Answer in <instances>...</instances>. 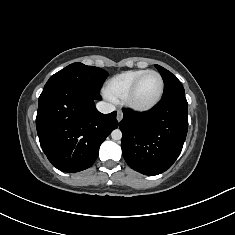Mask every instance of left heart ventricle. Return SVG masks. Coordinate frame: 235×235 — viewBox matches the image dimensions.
I'll list each match as a JSON object with an SVG mask.
<instances>
[{
  "label": "left heart ventricle",
  "mask_w": 235,
  "mask_h": 235,
  "mask_svg": "<svg viewBox=\"0 0 235 235\" xmlns=\"http://www.w3.org/2000/svg\"><path fill=\"white\" fill-rule=\"evenodd\" d=\"M160 90V81L157 75L150 73L139 83L133 97L136 104L151 103L157 97Z\"/></svg>",
  "instance_id": "1"
}]
</instances>
